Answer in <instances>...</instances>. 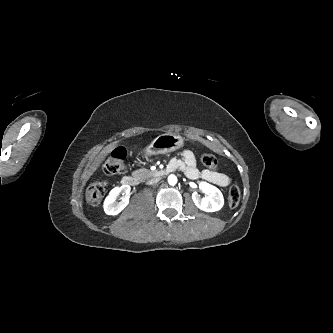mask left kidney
Here are the masks:
<instances>
[{
    "label": "left kidney",
    "mask_w": 333,
    "mask_h": 333,
    "mask_svg": "<svg viewBox=\"0 0 333 333\" xmlns=\"http://www.w3.org/2000/svg\"><path fill=\"white\" fill-rule=\"evenodd\" d=\"M199 188L206 194L203 198L198 193L192 194V199L199 209L205 212H215L223 207L224 198L217 187L203 181L199 183Z\"/></svg>",
    "instance_id": "left-kidney-1"
}]
</instances>
